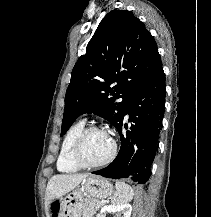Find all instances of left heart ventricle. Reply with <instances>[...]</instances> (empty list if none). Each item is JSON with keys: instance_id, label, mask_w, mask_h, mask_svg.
I'll return each mask as SVG.
<instances>
[{"instance_id": "left-heart-ventricle-1", "label": "left heart ventricle", "mask_w": 211, "mask_h": 217, "mask_svg": "<svg viewBox=\"0 0 211 217\" xmlns=\"http://www.w3.org/2000/svg\"><path fill=\"white\" fill-rule=\"evenodd\" d=\"M112 141L104 131H92L88 134L84 145V156L89 162H99L111 152Z\"/></svg>"}]
</instances>
